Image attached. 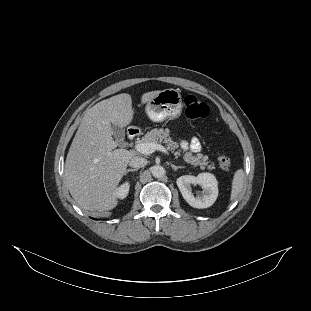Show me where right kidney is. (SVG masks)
<instances>
[{
	"instance_id": "1",
	"label": "right kidney",
	"mask_w": 311,
	"mask_h": 311,
	"mask_svg": "<svg viewBox=\"0 0 311 311\" xmlns=\"http://www.w3.org/2000/svg\"><path fill=\"white\" fill-rule=\"evenodd\" d=\"M128 192V185L124 184L117 192L118 197H125Z\"/></svg>"
}]
</instances>
